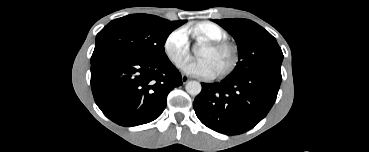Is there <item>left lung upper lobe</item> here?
Listing matches in <instances>:
<instances>
[{
    "label": "left lung upper lobe",
    "mask_w": 369,
    "mask_h": 152,
    "mask_svg": "<svg viewBox=\"0 0 369 152\" xmlns=\"http://www.w3.org/2000/svg\"><path fill=\"white\" fill-rule=\"evenodd\" d=\"M213 21L228 31L237 43L239 61L231 74L281 76L283 53L269 32L247 19Z\"/></svg>",
    "instance_id": "left-lung-upper-lobe-1"
}]
</instances>
